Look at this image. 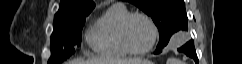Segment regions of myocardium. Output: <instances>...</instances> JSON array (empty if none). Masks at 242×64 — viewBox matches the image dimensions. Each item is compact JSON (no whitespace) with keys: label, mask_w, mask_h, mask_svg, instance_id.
Here are the masks:
<instances>
[{"label":"myocardium","mask_w":242,"mask_h":64,"mask_svg":"<svg viewBox=\"0 0 242 64\" xmlns=\"http://www.w3.org/2000/svg\"><path fill=\"white\" fill-rule=\"evenodd\" d=\"M135 17H142L144 18L150 25L151 29H152V33H153V37H152V41L150 43V45L143 49V50H135L133 49L127 39V29H128V25L130 23V21L135 18ZM158 36H159V31H158V27L156 25V23L154 22V20L146 13L143 12H129L121 21L120 27H119V40L120 43L123 47V49L131 55H145L149 52H151L158 40Z\"/></svg>","instance_id":"1"}]
</instances>
